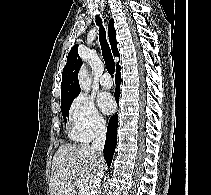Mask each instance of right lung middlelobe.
<instances>
[{"label": "right lung middle lobe", "instance_id": "1", "mask_svg": "<svg viewBox=\"0 0 211 195\" xmlns=\"http://www.w3.org/2000/svg\"><path fill=\"white\" fill-rule=\"evenodd\" d=\"M72 101L73 100L61 103V111H62V115L65 121H66V116L69 114V109L72 104Z\"/></svg>", "mask_w": 211, "mask_h": 195}]
</instances>
